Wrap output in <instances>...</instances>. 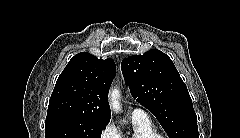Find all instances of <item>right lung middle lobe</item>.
<instances>
[{"label":"right lung middle lobe","instance_id":"dd1d6c3e","mask_svg":"<svg viewBox=\"0 0 240 138\" xmlns=\"http://www.w3.org/2000/svg\"><path fill=\"white\" fill-rule=\"evenodd\" d=\"M108 122L73 115L46 117V138H100Z\"/></svg>","mask_w":240,"mask_h":138}]
</instances>
